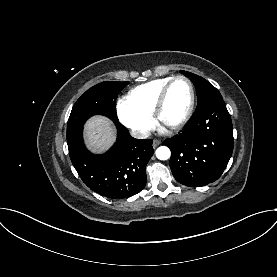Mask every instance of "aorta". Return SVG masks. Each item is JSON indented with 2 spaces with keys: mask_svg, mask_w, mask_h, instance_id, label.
I'll list each match as a JSON object with an SVG mask.
<instances>
[{
  "mask_svg": "<svg viewBox=\"0 0 277 277\" xmlns=\"http://www.w3.org/2000/svg\"><path fill=\"white\" fill-rule=\"evenodd\" d=\"M156 157L160 160H167L170 158L171 152L170 149L166 146H160L156 150Z\"/></svg>",
  "mask_w": 277,
  "mask_h": 277,
  "instance_id": "obj_1",
  "label": "aorta"
}]
</instances>
